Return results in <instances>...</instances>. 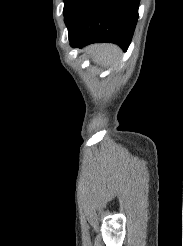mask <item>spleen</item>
<instances>
[{"mask_svg":"<svg viewBox=\"0 0 183 246\" xmlns=\"http://www.w3.org/2000/svg\"><path fill=\"white\" fill-rule=\"evenodd\" d=\"M120 50L113 45H106L100 49L97 57L98 61H107L109 64L114 63L120 57Z\"/></svg>","mask_w":183,"mask_h":246,"instance_id":"1","label":"spleen"}]
</instances>
